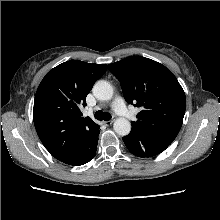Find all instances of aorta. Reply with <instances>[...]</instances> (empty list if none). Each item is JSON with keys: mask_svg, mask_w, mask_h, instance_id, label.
Segmentation results:
<instances>
[{"mask_svg": "<svg viewBox=\"0 0 220 220\" xmlns=\"http://www.w3.org/2000/svg\"><path fill=\"white\" fill-rule=\"evenodd\" d=\"M93 94L98 100L108 101L113 96V87L108 81H97L93 86ZM113 128L118 135L126 136L131 131V123L121 117L115 120Z\"/></svg>", "mask_w": 220, "mask_h": 220, "instance_id": "aorta-1", "label": "aorta"}]
</instances>
